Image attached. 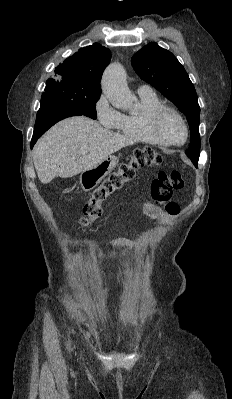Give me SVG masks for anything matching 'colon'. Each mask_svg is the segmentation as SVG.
<instances>
[{"label": "colon", "mask_w": 232, "mask_h": 399, "mask_svg": "<svg viewBox=\"0 0 232 399\" xmlns=\"http://www.w3.org/2000/svg\"><path fill=\"white\" fill-rule=\"evenodd\" d=\"M164 164L163 155L155 148L144 145L140 150L132 152L125 163H119L116 174H110L103 179L102 185H95L86 198V203L82 209V215L76 219V224L80 228H90L96 218L104 214V209L99 204L105 197H109L121 185H129V180L140 171L144 166L160 168ZM154 185L151 186L152 194H173L174 191H180V186L187 185V180H183V175H154ZM166 198H153V203H164L163 211L169 214H176L180 203H166Z\"/></svg>", "instance_id": "colon-1"}]
</instances>
